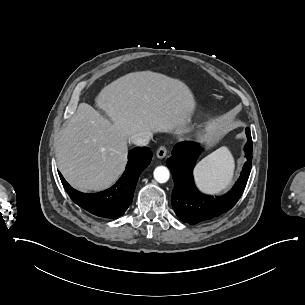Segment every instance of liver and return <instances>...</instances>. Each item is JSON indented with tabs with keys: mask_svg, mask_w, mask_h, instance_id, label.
<instances>
[{
	"mask_svg": "<svg viewBox=\"0 0 305 305\" xmlns=\"http://www.w3.org/2000/svg\"><path fill=\"white\" fill-rule=\"evenodd\" d=\"M101 105L115 127L82 102L59 139L58 168L82 191L104 189L116 180L124 171L127 139L133 134L182 127L190 119L193 99L182 83L148 72L106 87Z\"/></svg>",
	"mask_w": 305,
	"mask_h": 305,
	"instance_id": "6515ba94",
	"label": "liver"
}]
</instances>
